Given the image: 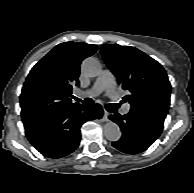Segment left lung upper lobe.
<instances>
[{
	"mask_svg": "<svg viewBox=\"0 0 194 193\" xmlns=\"http://www.w3.org/2000/svg\"><path fill=\"white\" fill-rule=\"evenodd\" d=\"M101 54L118 84L129 91L123 100L130 103V110L165 119L171 85L164 68L131 46L104 44Z\"/></svg>",
	"mask_w": 194,
	"mask_h": 193,
	"instance_id": "1",
	"label": "left lung upper lobe"
}]
</instances>
